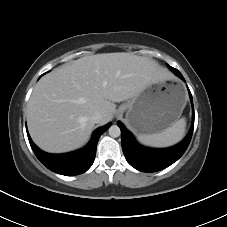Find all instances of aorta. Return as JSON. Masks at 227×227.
<instances>
[{
  "label": "aorta",
  "mask_w": 227,
  "mask_h": 227,
  "mask_svg": "<svg viewBox=\"0 0 227 227\" xmlns=\"http://www.w3.org/2000/svg\"><path fill=\"white\" fill-rule=\"evenodd\" d=\"M121 134L120 128L117 125H112L109 128V135L113 138L119 137Z\"/></svg>",
  "instance_id": "1"
}]
</instances>
